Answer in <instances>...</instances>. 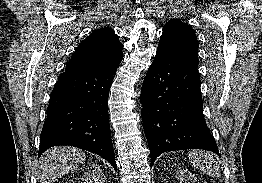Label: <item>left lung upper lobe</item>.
Returning a JSON list of instances; mask_svg holds the SVG:
<instances>
[{
    "label": "left lung upper lobe",
    "instance_id": "1",
    "mask_svg": "<svg viewBox=\"0 0 262 183\" xmlns=\"http://www.w3.org/2000/svg\"><path fill=\"white\" fill-rule=\"evenodd\" d=\"M198 48L195 31L188 24L178 19H171L163 28L156 53L197 68Z\"/></svg>",
    "mask_w": 262,
    "mask_h": 183
}]
</instances>
